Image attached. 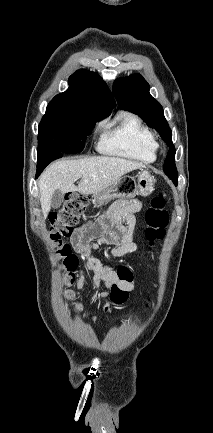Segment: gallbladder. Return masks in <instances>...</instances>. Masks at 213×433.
<instances>
[{"label":"gallbladder","instance_id":"1","mask_svg":"<svg viewBox=\"0 0 213 433\" xmlns=\"http://www.w3.org/2000/svg\"><path fill=\"white\" fill-rule=\"evenodd\" d=\"M64 201V193L60 190H55L51 198V207L57 209L61 206Z\"/></svg>","mask_w":213,"mask_h":433}]
</instances>
